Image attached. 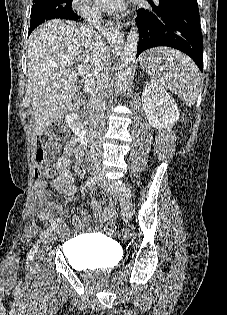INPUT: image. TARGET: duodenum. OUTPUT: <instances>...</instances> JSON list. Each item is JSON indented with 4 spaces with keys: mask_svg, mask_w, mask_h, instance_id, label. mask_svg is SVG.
<instances>
[{
    "mask_svg": "<svg viewBox=\"0 0 227 315\" xmlns=\"http://www.w3.org/2000/svg\"><path fill=\"white\" fill-rule=\"evenodd\" d=\"M66 123L73 128L77 141L87 146L89 143L88 131L83 123L80 111L76 105L70 108L68 115L66 116Z\"/></svg>",
    "mask_w": 227,
    "mask_h": 315,
    "instance_id": "1",
    "label": "duodenum"
}]
</instances>
